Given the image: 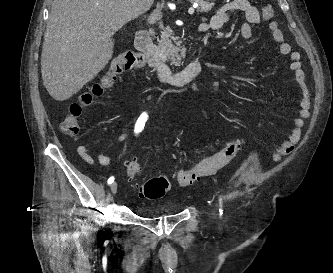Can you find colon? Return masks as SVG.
I'll return each mask as SVG.
<instances>
[{
	"label": "colon",
	"instance_id": "colon-1",
	"mask_svg": "<svg viewBox=\"0 0 333 273\" xmlns=\"http://www.w3.org/2000/svg\"><path fill=\"white\" fill-rule=\"evenodd\" d=\"M262 15L264 20H271L274 17V9L270 6H265L262 9ZM144 64L143 56L134 51H126L115 57L108 71L85 92L81 93L76 101L69 105L65 118L61 123L62 131L68 136L76 137L80 132L79 119L83 109L90 106L94 99L101 97L106 90L112 87L122 72L142 67ZM241 146L242 140H231L218 152L202 159L192 168L178 171L176 173L178 184L189 186L199 181L201 177L215 173L236 157ZM125 172L131 186L138 190L139 194L144 198H161L170 188V180L163 175L140 181L142 166L135 160L126 162Z\"/></svg>",
	"mask_w": 333,
	"mask_h": 273
}]
</instances>
